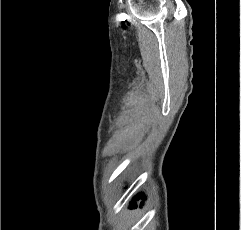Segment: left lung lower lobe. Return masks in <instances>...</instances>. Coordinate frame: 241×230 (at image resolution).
<instances>
[{"label": "left lung lower lobe", "mask_w": 241, "mask_h": 230, "mask_svg": "<svg viewBox=\"0 0 241 230\" xmlns=\"http://www.w3.org/2000/svg\"><path fill=\"white\" fill-rule=\"evenodd\" d=\"M138 198H139V197H136V199H138ZM140 198H141V196H140ZM132 204L135 205V202H132Z\"/></svg>", "instance_id": "obj_1"}]
</instances>
